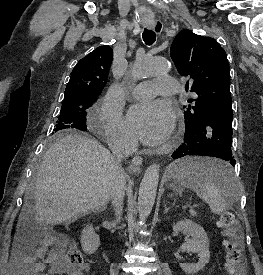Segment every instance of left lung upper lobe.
<instances>
[{
  "label": "left lung upper lobe",
  "instance_id": "1",
  "mask_svg": "<svg viewBox=\"0 0 263 275\" xmlns=\"http://www.w3.org/2000/svg\"><path fill=\"white\" fill-rule=\"evenodd\" d=\"M170 56L178 72L190 78L191 91L198 95L188 100L194 106L188 105L184 111L186 128L195 127L217 106L231 104L227 55L215 39L184 29L176 35Z\"/></svg>",
  "mask_w": 263,
  "mask_h": 275
}]
</instances>
